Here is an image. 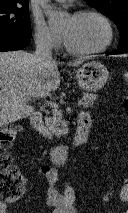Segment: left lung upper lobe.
I'll list each match as a JSON object with an SVG mask.
<instances>
[{
    "instance_id": "5c2ea615",
    "label": "left lung upper lobe",
    "mask_w": 128,
    "mask_h": 213,
    "mask_svg": "<svg viewBox=\"0 0 128 213\" xmlns=\"http://www.w3.org/2000/svg\"><path fill=\"white\" fill-rule=\"evenodd\" d=\"M90 6L108 16L118 27V48L128 46V0H85Z\"/></svg>"
}]
</instances>
